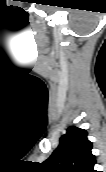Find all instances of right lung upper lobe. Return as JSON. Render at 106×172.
<instances>
[{"label": "right lung upper lobe", "instance_id": "right-lung-upper-lobe-1", "mask_svg": "<svg viewBox=\"0 0 106 172\" xmlns=\"http://www.w3.org/2000/svg\"><path fill=\"white\" fill-rule=\"evenodd\" d=\"M91 149L87 131L70 126L43 166L48 172H95L96 160Z\"/></svg>", "mask_w": 106, "mask_h": 172}]
</instances>
